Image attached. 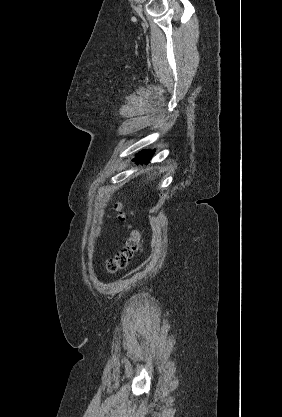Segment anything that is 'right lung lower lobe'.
<instances>
[{"label":"right lung lower lobe","instance_id":"98d812e1","mask_svg":"<svg viewBox=\"0 0 282 417\" xmlns=\"http://www.w3.org/2000/svg\"><path fill=\"white\" fill-rule=\"evenodd\" d=\"M153 151H155V150H153ZM152 155H153V153H152L151 150H143L139 153L138 156H136L135 159H133V161H135L136 163H139V162L140 163H143V162L147 163L150 160Z\"/></svg>","mask_w":282,"mask_h":417}]
</instances>
